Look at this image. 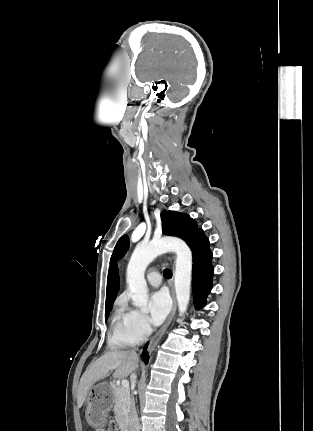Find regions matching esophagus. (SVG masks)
I'll return each mask as SVG.
<instances>
[{"label":"esophagus","mask_w":313,"mask_h":431,"mask_svg":"<svg viewBox=\"0 0 313 431\" xmlns=\"http://www.w3.org/2000/svg\"><path fill=\"white\" fill-rule=\"evenodd\" d=\"M171 286V295H172V300H173V305H172V309L171 312L168 316V318L166 319L165 323L163 324V326L159 329V331L153 336V338L150 341L149 344V350L154 349V347L157 345V343L160 341V339L162 338L163 334L165 333V331L167 330L168 326L170 325L175 312H176V308H177V302H176V297H175V290H174V284H173V280L170 283Z\"/></svg>","instance_id":"esophagus-1"}]
</instances>
